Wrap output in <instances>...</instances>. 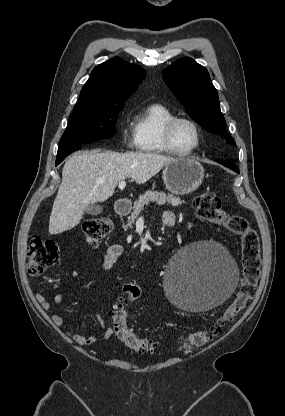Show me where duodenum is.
Returning a JSON list of instances; mask_svg holds the SVG:
<instances>
[{"label":"duodenum","instance_id":"duodenum-1","mask_svg":"<svg viewBox=\"0 0 285 416\" xmlns=\"http://www.w3.org/2000/svg\"><path fill=\"white\" fill-rule=\"evenodd\" d=\"M132 204L131 197H117L115 211L118 215L124 216L130 212ZM166 225H171V219L165 222Z\"/></svg>","mask_w":285,"mask_h":416}]
</instances>
